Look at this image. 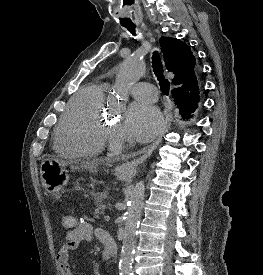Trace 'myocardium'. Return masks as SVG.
I'll return each mask as SVG.
<instances>
[{"instance_id":"obj_1","label":"myocardium","mask_w":263,"mask_h":275,"mask_svg":"<svg viewBox=\"0 0 263 275\" xmlns=\"http://www.w3.org/2000/svg\"><path fill=\"white\" fill-rule=\"evenodd\" d=\"M97 131L106 140L110 135L111 127L101 118L98 122Z\"/></svg>"}]
</instances>
